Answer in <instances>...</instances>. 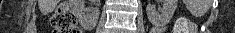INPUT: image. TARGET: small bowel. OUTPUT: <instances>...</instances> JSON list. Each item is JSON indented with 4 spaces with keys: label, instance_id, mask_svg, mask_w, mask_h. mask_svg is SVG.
<instances>
[{
    "label": "small bowel",
    "instance_id": "small-bowel-1",
    "mask_svg": "<svg viewBox=\"0 0 235 33\" xmlns=\"http://www.w3.org/2000/svg\"><path fill=\"white\" fill-rule=\"evenodd\" d=\"M163 32H164V27L157 26L152 29V33H163Z\"/></svg>",
    "mask_w": 235,
    "mask_h": 33
}]
</instances>
